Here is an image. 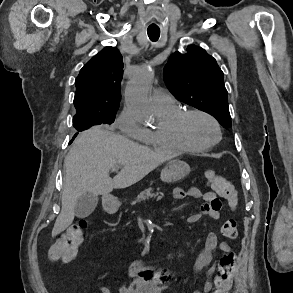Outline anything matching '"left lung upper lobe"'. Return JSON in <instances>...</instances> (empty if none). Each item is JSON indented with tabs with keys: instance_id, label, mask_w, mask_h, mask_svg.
I'll return each mask as SVG.
<instances>
[{
	"instance_id": "5c2ea615",
	"label": "left lung upper lobe",
	"mask_w": 293,
	"mask_h": 293,
	"mask_svg": "<svg viewBox=\"0 0 293 293\" xmlns=\"http://www.w3.org/2000/svg\"><path fill=\"white\" fill-rule=\"evenodd\" d=\"M164 81L180 101L211 114L225 128L231 126L223 72L204 49L190 45L185 54L173 53Z\"/></svg>"
}]
</instances>
